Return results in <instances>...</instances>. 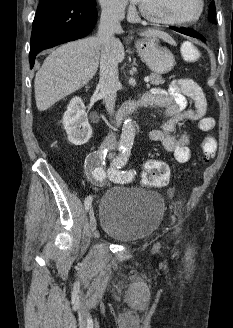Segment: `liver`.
<instances>
[{
  "mask_svg": "<svg viewBox=\"0 0 233 328\" xmlns=\"http://www.w3.org/2000/svg\"><path fill=\"white\" fill-rule=\"evenodd\" d=\"M140 35L159 37L168 43H174L170 35L157 29H147ZM101 50L102 44L98 36H93L67 43L52 51L35 76V100L38 110L49 109L62 98L86 85L98 69ZM112 50L117 61L121 63L125 51L119 39H115Z\"/></svg>",
  "mask_w": 233,
  "mask_h": 328,
  "instance_id": "1",
  "label": "liver"
}]
</instances>
